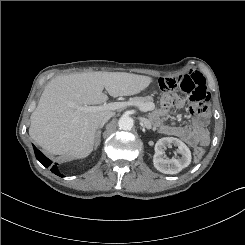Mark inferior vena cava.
Segmentation results:
<instances>
[{
  "label": "inferior vena cava",
  "instance_id": "1",
  "mask_svg": "<svg viewBox=\"0 0 245 245\" xmlns=\"http://www.w3.org/2000/svg\"><path fill=\"white\" fill-rule=\"evenodd\" d=\"M114 115L113 112L107 114L101 121L100 126H104V124Z\"/></svg>",
  "mask_w": 245,
  "mask_h": 245
}]
</instances>
